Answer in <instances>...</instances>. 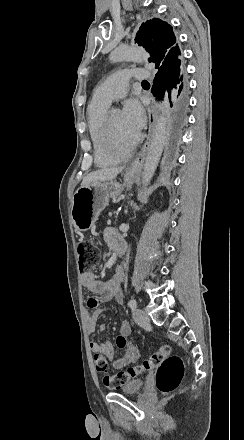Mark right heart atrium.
Returning a JSON list of instances; mask_svg holds the SVG:
<instances>
[{"label": "right heart atrium", "instance_id": "right-heart-atrium-1", "mask_svg": "<svg viewBox=\"0 0 244 440\" xmlns=\"http://www.w3.org/2000/svg\"><path fill=\"white\" fill-rule=\"evenodd\" d=\"M130 139H136V135H131Z\"/></svg>", "mask_w": 244, "mask_h": 440}]
</instances>
